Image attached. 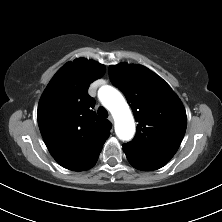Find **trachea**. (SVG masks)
<instances>
[{
  "instance_id": "trachea-1",
  "label": "trachea",
  "mask_w": 222,
  "mask_h": 222,
  "mask_svg": "<svg viewBox=\"0 0 222 222\" xmlns=\"http://www.w3.org/2000/svg\"><path fill=\"white\" fill-rule=\"evenodd\" d=\"M98 115L101 117V118H107L108 117V112L105 108L103 107H100L97 111Z\"/></svg>"
}]
</instances>
